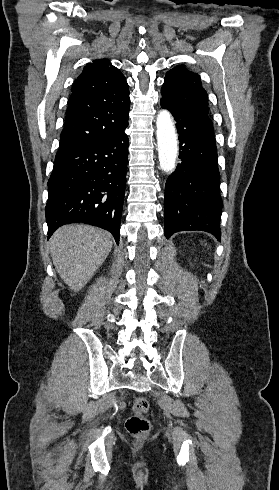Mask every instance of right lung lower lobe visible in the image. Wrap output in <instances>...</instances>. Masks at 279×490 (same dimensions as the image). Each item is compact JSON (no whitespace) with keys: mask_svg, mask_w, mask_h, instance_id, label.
Segmentation results:
<instances>
[{"mask_svg":"<svg viewBox=\"0 0 279 490\" xmlns=\"http://www.w3.org/2000/svg\"><path fill=\"white\" fill-rule=\"evenodd\" d=\"M127 126L94 143L56 155L45 207L48 238L58 227L77 222L101 227L119 243L128 159Z\"/></svg>","mask_w":279,"mask_h":490,"instance_id":"right-lung-lower-lobe-1","label":"right lung lower lobe"}]
</instances>
